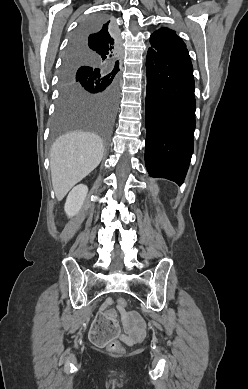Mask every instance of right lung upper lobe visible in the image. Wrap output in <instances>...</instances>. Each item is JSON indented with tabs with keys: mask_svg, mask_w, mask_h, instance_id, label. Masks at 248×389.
Listing matches in <instances>:
<instances>
[{
	"mask_svg": "<svg viewBox=\"0 0 248 389\" xmlns=\"http://www.w3.org/2000/svg\"><path fill=\"white\" fill-rule=\"evenodd\" d=\"M74 44V43H73ZM76 50L107 65L113 73L119 71L120 44L111 31L110 21L103 24L97 31L81 38Z\"/></svg>",
	"mask_w": 248,
	"mask_h": 389,
	"instance_id": "cb5924a9",
	"label": "right lung upper lobe"
}]
</instances>
